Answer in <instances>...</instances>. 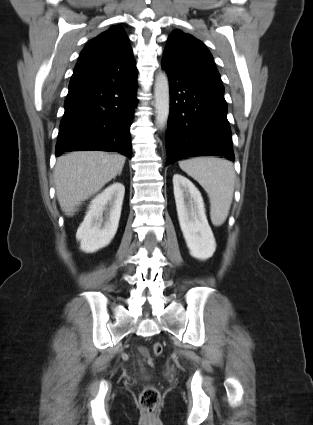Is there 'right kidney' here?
<instances>
[{
	"instance_id": "ca27d5eb",
	"label": "right kidney",
	"mask_w": 313,
	"mask_h": 425,
	"mask_svg": "<svg viewBox=\"0 0 313 425\" xmlns=\"http://www.w3.org/2000/svg\"><path fill=\"white\" fill-rule=\"evenodd\" d=\"M124 193V185L116 182L91 201L76 233L82 251L93 253L110 244L117 232Z\"/></svg>"
}]
</instances>
